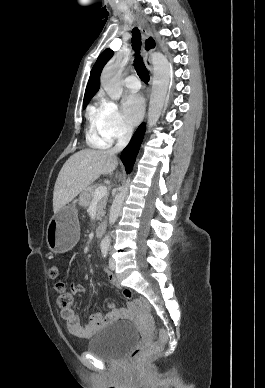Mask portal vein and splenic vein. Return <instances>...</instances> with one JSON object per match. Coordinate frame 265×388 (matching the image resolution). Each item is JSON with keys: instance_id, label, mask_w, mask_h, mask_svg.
<instances>
[{"instance_id": "obj_1", "label": "portal vein and splenic vein", "mask_w": 265, "mask_h": 388, "mask_svg": "<svg viewBox=\"0 0 265 388\" xmlns=\"http://www.w3.org/2000/svg\"><path fill=\"white\" fill-rule=\"evenodd\" d=\"M106 194H107L106 186H100V188H96L93 198H94V200H95V198H104V196H106Z\"/></svg>"}]
</instances>
